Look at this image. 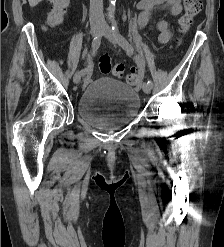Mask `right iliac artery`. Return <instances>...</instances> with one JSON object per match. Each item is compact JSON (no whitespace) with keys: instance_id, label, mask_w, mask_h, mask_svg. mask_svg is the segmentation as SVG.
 Here are the masks:
<instances>
[{"instance_id":"obj_1","label":"right iliac artery","mask_w":224,"mask_h":247,"mask_svg":"<svg viewBox=\"0 0 224 247\" xmlns=\"http://www.w3.org/2000/svg\"><path fill=\"white\" fill-rule=\"evenodd\" d=\"M101 37L102 34H98L96 37H94L93 41H92V46H91V50H92V54L94 55L97 51V49L100 46L101 43ZM82 76L83 75H89L91 73V67H86L85 69L81 70Z\"/></svg>"}]
</instances>
